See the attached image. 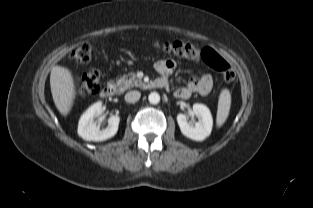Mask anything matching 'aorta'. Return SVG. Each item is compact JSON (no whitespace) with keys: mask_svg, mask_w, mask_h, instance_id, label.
Returning a JSON list of instances; mask_svg holds the SVG:
<instances>
[{"mask_svg":"<svg viewBox=\"0 0 313 208\" xmlns=\"http://www.w3.org/2000/svg\"><path fill=\"white\" fill-rule=\"evenodd\" d=\"M148 100L151 104H158L160 102V95L157 92H152L149 94Z\"/></svg>","mask_w":313,"mask_h":208,"instance_id":"1","label":"aorta"}]
</instances>
